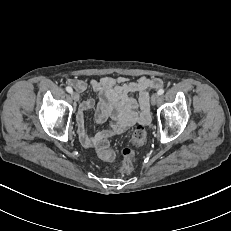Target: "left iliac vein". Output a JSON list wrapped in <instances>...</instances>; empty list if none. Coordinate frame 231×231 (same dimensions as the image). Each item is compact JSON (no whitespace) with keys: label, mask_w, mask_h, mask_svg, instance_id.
Wrapping results in <instances>:
<instances>
[{"label":"left iliac vein","mask_w":231,"mask_h":231,"mask_svg":"<svg viewBox=\"0 0 231 231\" xmlns=\"http://www.w3.org/2000/svg\"><path fill=\"white\" fill-rule=\"evenodd\" d=\"M159 100V94L158 93H154L151 96V104L155 105Z\"/></svg>","instance_id":"4c4485c4"}]
</instances>
